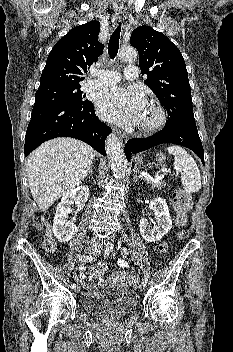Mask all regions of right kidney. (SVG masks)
<instances>
[{
	"instance_id": "obj_1",
	"label": "right kidney",
	"mask_w": 233,
	"mask_h": 352,
	"mask_svg": "<svg viewBox=\"0 0 233 352\" xmlns=\"http://www.w3.org/2000/svg\"><path fill=\"white\" fill-rule=\"evenodd\" d=\"M88 195L89 188L85 185L79 186L66 193L62 197L61 202L57 205L53 223V233L60 242H68L73 238L77 231L74 221L79 211L85 206ZM74 202L77 205V210L74 211V217L70 221L68 220V215L71 213L69 205Z\"/></svg>"
}]
</instances>
